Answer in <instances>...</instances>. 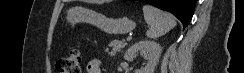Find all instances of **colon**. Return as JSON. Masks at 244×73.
Listing matches in <instances>:
<instances>
[{
    "mask_svg": "<svg viewBox=\"0 0 244 73\" xmlns=\"http://www.w3.org/2000/svg\"><path fill=\"white\" fill-rule=\"evenodd\" d=\"M81 53L78 49L70 50L57 62V70L60 73H80Z\"/></svg>",
    "mask_w": 244,
    "mask_h": 73,
    "instance_id": "colon-1",
    "label": "colon"
}]
</instances>
